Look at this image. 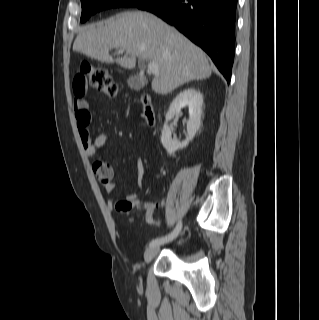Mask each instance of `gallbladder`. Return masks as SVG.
<instances>
[{
  "mask_svg": "<svg viewBox=\"0 0 319 320\" xmlns=\"http://www.w3.org/2000/svg\"><path fill=\"white\" fill-rule=\"evenodd\" d=\"M127 82L131 89L137 91L141 90L146 85V80L137 75L130 76Z\"/></svg>",
  "mask_w": 319,
  "mask_h": 320,
  "instance_id": "bac80fb5",
  "label": "gallbladder"
}]
</instances>
